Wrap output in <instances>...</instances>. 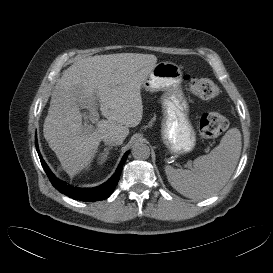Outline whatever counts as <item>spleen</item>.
Here are the masks:
<instances>
[{
	"mask_svg": "<svg viewBox=\"0 0 273 273\" xmlns=\"http://www.w3.org/2000/svg\"><path fill=\"white\" fill-rule=\"evenodd\" d=\"M241 133L229 129L209 154L196 158L191 170L165 167L171 186L183 196L201 200L222 189L229 181L241 154Z\"/></svg>",
	"mask_w": 273,
	"mask_h": 273,
	"instance_id": "1",
	"label": "spleen"
}]
</instances>
